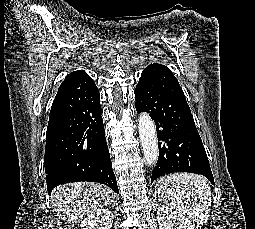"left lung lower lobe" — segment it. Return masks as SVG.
Instances as JSON below:
<instances>
[{"label": "left lung lower lobe", "mask_w": 255, "mask_h": 229, "mask_svg": "<svg viewBox=\"0 0 255 229\" xmlns=\"http://www.w3.org/2000/svg\"><path fill=\"white\" fill-rule=\"evenodd\" d=\"M136 110L156 123L159 158L151 182L173 172H192L214 185L209 161L189 105L170 69L153 63L144 69L135 89Z\"/></svg>", "instance_id": "0a47b994"}]
</instances>
